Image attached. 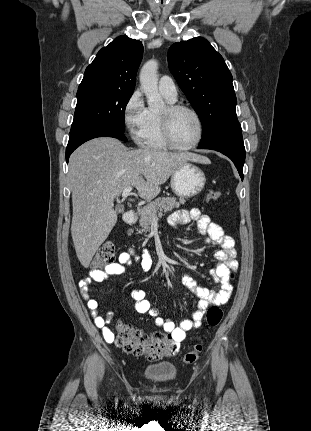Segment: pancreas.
<instances>
[{
	"label": "pancreas",
	"mask_w": 311,
	"mask_h": 431,
	"mask_svg": "<svg viewBox=\"0 0 311 431\" xmlns=\"http://www.w3.org/2000/svg\"><path fill=\"white\" fill-rule=\"evenodd\" d=\"M186 198H157L151 204H147L144 208L137 210L136 214L139 217V225L142 227L140 231H149L153 217L164 216L163 212H172L175 208H180L182 204H186ZM134 229H128V235L133 233Z\"/></svg>",
	"instance_id": "1"
}]
</instances>
